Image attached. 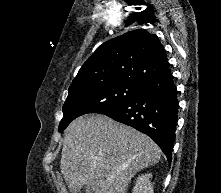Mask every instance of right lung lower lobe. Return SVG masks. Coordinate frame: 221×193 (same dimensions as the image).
<instances>
[{"label":"right lung lower lobe","instance_id":"98d812e1","mask_svg":"<svg viewBox=\"0 0 221 193\" xmlns=\"http://www.w3.org/2000/svg\"><path fill=\"white\" fill-rule=\"evenodd\" d=\"M177 93L171 73L151 78L142 83L140 91L131 99L100 114L148 135L171 163L178 121Z\"/></svg>","mask_w":221,"mask_h":193}]
</instances>
